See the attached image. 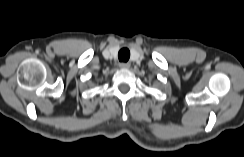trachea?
<instances>
[{
    "label": "trachea",
    "instance_id": "obj_1",
    "mask_svg": "<svg viewBox=\"0 0 244 157\" xmlns=\"http://www.w3.org/2000/svg\"><path fill=\"white\" fill-rule=\"evenodd\" d=\"M120 62H127L130 58V51L127 48H122L118 53Z\"/></svg>",
    "mask_w": 244,
    "mask_h": 157
}]
</instances>
